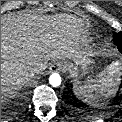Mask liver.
Instances as JSON below:
<instances>
[{
  "mask_svg": "<svg viewBox=\"0 0 122 122\" xmlns=\"http://www.w3.org/2000/svg\"><path fill=\"white\" fill-rule=\"evenodd\" d=\"M87 42L74 15L7 14L1 18V100L14 96L36 73L38 63L77 56Z\"/></svg>",
  "mask_w": 122,
  "mask_h": 122,
  "instance_id": "obj_1",
  "label": "liver"
}]
</instances>
